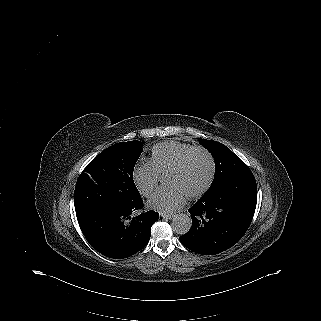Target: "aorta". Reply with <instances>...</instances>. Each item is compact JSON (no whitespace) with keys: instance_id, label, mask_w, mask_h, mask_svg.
Here are the masks:
<instances>
[{"instance_id":"obj_1","label":"aorta","mask_w":321,"mask_h":321,"mask_svg":"<svg viewBox=\"0 0 321 321\" xmlns=\"http://www.w3.org/2000/svg\"><path fill=\"white\" fill-rule=\"evenodd\" d=\"M192 227V219L187 214H176L172 219L173 230L180 235L186 234Z\"/></svg>"}]
</instances>
